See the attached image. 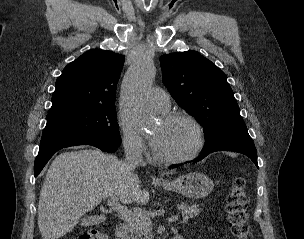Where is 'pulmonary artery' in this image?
<instances>
[{
	"label": "pulmonary artery",
	"instance_id": "pulmonary-artery-1",
	"mask_svg": "<svg viewBox=\"0 0 304 239\" xmlns=\"http://www.w3.org/2000/svg\"><path fill=\"white\" fill-rule=\"evenodd\" d=\"M148 100L152 106L160 111H167L171 105L168 93L157 87L149 91Z\"/></svg>",
	"mask_w": 304,
	"mask_h": 239
}]
</instances>
